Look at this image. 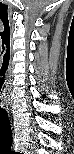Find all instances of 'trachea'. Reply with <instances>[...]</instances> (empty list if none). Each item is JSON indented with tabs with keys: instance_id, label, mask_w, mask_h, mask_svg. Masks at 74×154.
Returning <instances> with one entry per match:
<instances>
[{
	"instance_id": "1",
	"label": "trachea",
	"mask_w": 74,
	"mask_h": 154,
	"mask_svg": "<svg viewBox=\"0 0 74 154\" xmlns=\"http://www.w3.org/2000/svg\"><path fill=\"white\" fill-rule=\"evenodd\" d=\"M11 135V124L7 112L3 109L0 110V139L7 142Z\"/></svg>"
}]
</instances>
